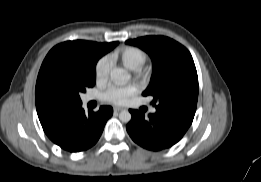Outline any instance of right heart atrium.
Masks as SVG:
<instances>
[{
  "mask_svg": "<svg viewBox=\"0 0 261 182\" xmlns=\"http://www.w3.org/2000/svg\"><path fill=\"white\" fill-rule=\"evenodd\" d=\"M111 68L110 59L107 56L100 58L95 66V78L98 82L107 79Z\"/></svg>",
  "mask_w": 261,
  "mask_h": 182,
  "instance_id": "d8ad5b80",
  "label": "right heart atrium"
}]
</instances>
